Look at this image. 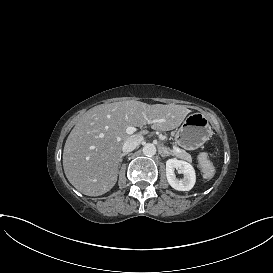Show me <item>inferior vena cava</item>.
Masks as SVG:
<instances>
[{"label":"inferior vena cava","mask_w":273,"mask_h":273,"mask_svg":"<svg viewBox=\"0 0 273 273\" xmlns=\"http://www.w3.org/2000/svg\"><path fill=\"white\" fill-rule=\"evenodd\" d=\"M143 140L142 136H133L129 138L125 143L123 144L122 151L124 153H128L133 151Z\"/></svg>","instance_id":"inferior-vena-cava-1"}]
</instances>
